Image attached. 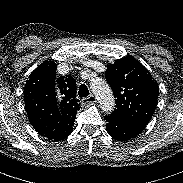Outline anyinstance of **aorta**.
I'll use <instances>...</instances> for the list:
<instances>
[{"mask_svg":"<svg viewBox=\"0 0 183 183\" xmlns=\"http://www.w3.org/2000/svg\"><path fill=\"white\" fill-rule=\"evenodd\" d=\"M91 89L97 97L103 112H112L114 109V96L109 85L102 79H94L91 82Z\"/></svg>","mask_w":183,"mask_h":183,"instance_id":"762f6f07","label":"aorta"}]
</instances>
